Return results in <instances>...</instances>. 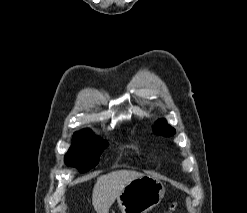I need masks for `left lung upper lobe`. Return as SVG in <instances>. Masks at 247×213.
<instances>
[{"label": "left lung upper lobe", "instance_id": "obj_1", "mask_svg": "<svg viewBox=\"0 0 247 213\" xmlns=\"http://www.w3.org/2000/svg\"><path fill=\"white\" fill-rule=\"evenodd\" d=\"M153 131L157 135L170 136L175 133L174 128L167 124L165 119H159L156 121Z\"/></svg>", "mask_w": 247, "mask_h": 213}]
</instances>
